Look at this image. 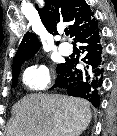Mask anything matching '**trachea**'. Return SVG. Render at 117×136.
<instances>
[{
  "label": "trachea",
  "mask_w": 117,
  "mask_h": 136,
  "mask_svg": "<svg viewBox=\"0 0 117 136\" xmlns=\"http://www.w3.org/2000/svg\"><path fill=\"white\" fill-rule=\"evenodd\" d=\"M65 34H66L67 36L70 34V32H69L68 29L65 30Z\"/></svg>",
  "instance_id": "3493384b"
}]
</instances>
